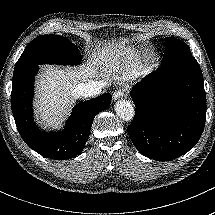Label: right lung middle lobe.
I'll return each mask as SVG.
<instances>
[{"mask_svg": "<svg viewBox=\"0 0 215 215\" xmlns=\"http://www.w3.org/2000/svg\"><path fill=\"white\" fill-rule=\"evenodd\" d=\"M81 61L78 48L66 37L43 35L35 38L25 48L17 61L14 72L41 64L77 65Z\"/></svg>", "mask_w": 215, "mask_h": 215, "instance_id": "dd1d6c3e", "label": "right lung middle lobe"}]
</instances>
